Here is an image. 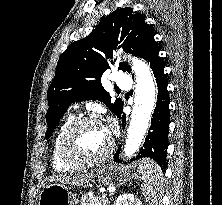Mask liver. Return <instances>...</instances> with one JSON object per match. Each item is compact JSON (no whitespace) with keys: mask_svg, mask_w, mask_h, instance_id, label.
I'll use <instances>...</instances> for the list:
<instances>
[{"mask_svg":"<svg viewBox=\"0 0 222 205\" xmlns=\"http://www.w3.org/2000/svg\"><path fill=\"white\" fill-rule=\"evenodd\" d=\"M93 178V173L86 175H76V176H61L56 178L55 181H59L62 184H70L74 186H84L88 184Z\"/></svg>","mask_w":222,"mask_h":205,"instance_id":"liver-1","label":"liver"}]
</instances>
